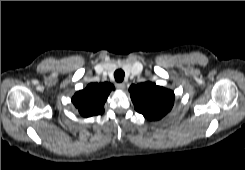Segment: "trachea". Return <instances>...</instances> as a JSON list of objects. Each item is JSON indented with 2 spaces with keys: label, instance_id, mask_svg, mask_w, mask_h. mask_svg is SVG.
Masks as SVG:
<instances>
[{
  "label": "trachea",
  "instance_id": "trachea-1",
  "mask_svg": "<svg viewBox=\"0 0 245 170\" xmlns=\"http://www.w3.org/2000/svg\"><path fill=\"white\" fill-rule=\"evenodd\" d=\"M125 73L123 70L118 69L114 72V78L117 82H122L124 79Z\"/></svg>",
  "mask_w": 245,
  "mask_h": 170
}]
</instances>
